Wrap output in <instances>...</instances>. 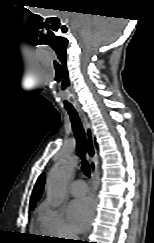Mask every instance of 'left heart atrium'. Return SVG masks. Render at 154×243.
<instances>
[{"mask_svg":"<svg viewBox=\"0 0 154 243\" xmlns=\"http://www.w3.org/2000/svg\"><path fill=\"white\" fill-rule=\"evenodd\" d=\"M94 206L89 197L74 200L68 207V218L74 231H85L93 217Z\"/></svg>","mask_w":154,"mask_h":243,"instance_id":"obj_1","label":"left heart atrium"}]
</instances>
